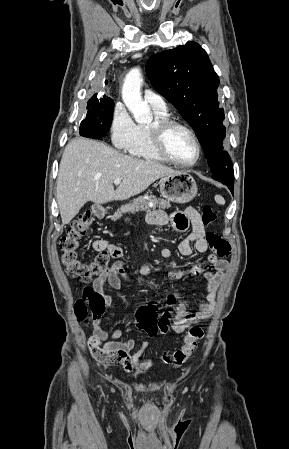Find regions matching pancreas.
I'll list each match as a JSON object with an SVG mask.
<instances>
[{"instance_id":"obj_1","label":"pancreas","mask_w":289,"mask_h":449,"mask_svg":"<svg viewBox=\"0 0 289 449\" xmlns=\"http://www.w3.org/2000/svg\"><path fill=\"white\" fill-rule=\"evenodd\" d=\"M148 200L152 203V206L149 205ZM161 208L168 209L171 207V204L167 200L157 199L154 195H144L138 198L133 199L128 204L121 206V208L114 214L112 220L116 221L121 218L124 214L134 213L136 211H148L151 208Z\"/></svg>"}]
</instances>
